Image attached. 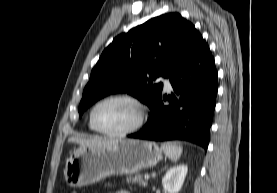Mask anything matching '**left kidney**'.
Segmentation results:
<instances>
[{
    "label": "left kidney",
    "mask_w": 277,
    "mask_h": 193,
    "mask_svg": "<svg viewBox=\"0 0 277 193\" xmlns=\"http://www.w3.org/2000/svg\"><path fill=\"white\" fill-rule=\"evenodd\" d=\"M187 171L186 164H179L170 168L162 179L163 188L168 193H178L184 183Z\"/></svg>",
    "instance_id": "left-kidney-1"
}]
</instances>
